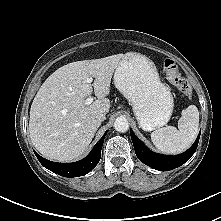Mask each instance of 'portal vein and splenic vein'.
<instances>
[{
  "instance_id": "obj_1",
  "label": "portal vein and splenic vein",
  "mask_w": 221,
  "mask_h": 221,
  "mask_svg": "<svg viewBox=\"0 0 221 221\" xmlns=\"http://www.w3.org/2000/svg\"><path fill=\"white\" fill-rule=\"evenodd\" d=\"M87 82L91 83L92 82V78H88ZM94 98L93 97H89L85 100V105H90L93 102Z\"/></svg>"
}]
</instances>
